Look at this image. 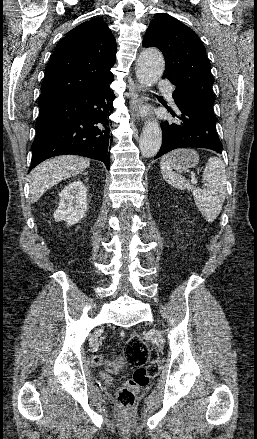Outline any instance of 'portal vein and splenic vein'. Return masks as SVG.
<instances>
[{
	"mask_svg": "<svg viewBox=\"0 0 257 439\" xmlns=\"http://www.w3.org/2000/svg\"><path fill=\"white\" fill-rule=\"evenodd\" d=\"M191 182H192V184H196L197 183V180L195 179V177L191 178Z\"/></svg>",
	"mask_w": 257,
	"mask_h": 439,
	"instance_id": "portal-vein-and-splenic-vein-1",
	"label": "portal vein and splenic vein"
}]
</instances>
